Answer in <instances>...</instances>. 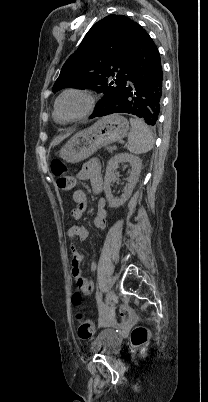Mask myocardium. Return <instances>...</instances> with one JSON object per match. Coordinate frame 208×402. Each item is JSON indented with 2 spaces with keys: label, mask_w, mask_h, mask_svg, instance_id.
I'll use <instances>...</instances> for the list:
<instances>
[{
  "label": "myocardium",
  "mask_w": 208,
  "mask_h": 402,
  "mask_svg": "<svg viewBox=\"0 0 208 402\" xmlns=\"http://www.w3.org/2000/svg\"><path fill=\"white\" fill-rule=\"evenodd\" d=\"M69 93H79V94L85 95L89 99V106L84 113H82L76 117L65 118L60 115L59 110H58V104H59V101L62 99V97ZM96 104H97V96L93 92H91L89 90L81 89V88H67V89L63 90L57 96V98L54 102V114L63 123L75 122V121H79V120L85 119L88 116H90L94 112V110L96 108Z\"/></svg>",
  "instance_id": "myocardium-1"
}]
</instances>
